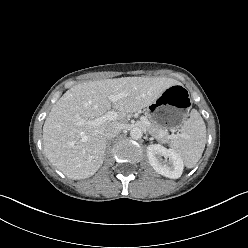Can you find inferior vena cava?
Listing matches in <instances>:
<instances>
[{"mask_svg": "<svg viewBox=\"0 0 248 248\" xmlns=\"http://www.w3.org/2000/svg\"><path fill=\"white\" fill-rule=\"evenodd\" d=\"M122 126L121 124H113L106 128L105 137L107 139H112L116 137L121 132Z\"/></svg>", "mask_w": 248, "mask_h": 248, "instance_id": "1", "label": "inferior vena cava"}]
</instances>
